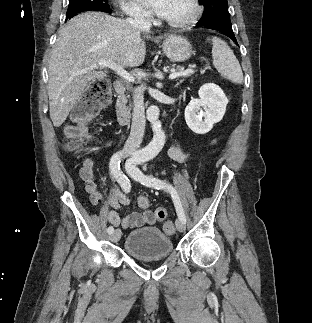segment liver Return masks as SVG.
<instances>
[{
    "instance_id": "6515ba94",
    "label": "liver",
    "mask_w": 312,
    "mask_h": 323,
    "mask_svg": "<svg viewBox=\"0 0 312 323\" xmlns=\"http://www.w3.org/2000/svg\"><path fill=\"white\" fill-rule=\"evenodd\" d=\"M143 38L149 36H136L124 20L104 12H84L60 28L48 66L53 126H62L91 80L106 78L108 72L91 68L93 64L105 60L122 68L141 66L146 56Z\"/></svg>"
}]
</instances>
